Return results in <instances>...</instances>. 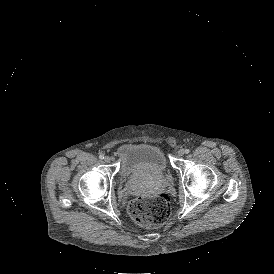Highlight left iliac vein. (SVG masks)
I'll use <instances>...</instances> for the list:
<instances>
[{
    "instance_id": "1",
    "label": "left iliac vein",
    "mask_w": 274,
    "mask_h": 274,
    "mask_svg": "<svg viewBox=\"0 0 274 274\" xmlns=\"http://www.w3.org/2000/svg\"><path fill=\"white\" fill-rule=\"evenodd\" d=\"M184 154H185V150H183V149H179L178 152H177V155L179 157H182Z\"/></svg>"
}]
</instances>
